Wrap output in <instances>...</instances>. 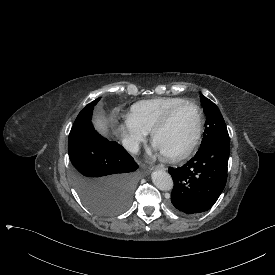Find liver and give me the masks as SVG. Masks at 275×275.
<instances>
[{"label": "liver", "instance_id": "1", "mask_svg": "<svg viewBox=\"0 0 275 275\" xmlns=\"http://www.w3.org/2000/svg\"><path fill=\"white\" fill-rule=\"evenodd\" d=\"M94 125L95 128L102 134V135H106L107 133V125L104 119L96 117L94 119Z\"/></svg>", "mask_w": 275, "mask_h": 275}]
</instances>
